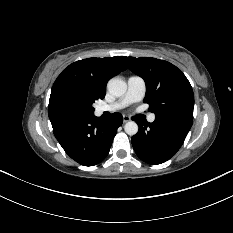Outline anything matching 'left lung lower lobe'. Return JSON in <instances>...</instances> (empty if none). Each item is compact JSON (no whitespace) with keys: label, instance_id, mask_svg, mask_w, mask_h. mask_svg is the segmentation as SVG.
Masks as SVG:
<instances>
[{"label":"left lung lower lobe","instance_id":"0a47b994","mask_svg":"<svg viewBox=\"0 0 233 233\" xmlns=\"http://www.w3.org/2000/svg\"><path fill=\"white\" fill-rule=\"evenodd\" d=\"M139 131L132 137L137 156L149 164H161L169 160L182 146L191 126L176 120L156 117L153 123L133 118Z\"/></svg>","mask_w":233,"mask_h":233}]
</instances>
